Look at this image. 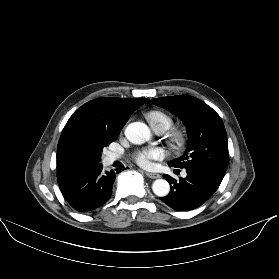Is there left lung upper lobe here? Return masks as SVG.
I'll return each mask as SVG.
<instances>
[{
  "instance_id": "5c2ea615",
  "label": "left lung upper lobe",
  "mask_w": 279,
  "mask_h": 279,
  "mask_svg": "<svg viewBox=\"0 0 279 279\" xmlns=\"http://www.w3.org/2000/svg\"><path fill=\"white\" fill-rule=\"evenodd\" d=\"M176 114L188 132L184 154L168 163L176 168L200 167L223 178L228 167V141L224 124L215 110L203 101L178 95L151 100Z\"/></svg>"
}]
</instances>
